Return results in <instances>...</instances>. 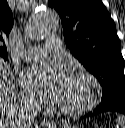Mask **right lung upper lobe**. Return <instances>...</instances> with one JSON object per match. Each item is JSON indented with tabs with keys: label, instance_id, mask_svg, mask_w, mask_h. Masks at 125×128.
I'll return each instance as SVG.
<instances>
[{
	"label": "right lung upper lobe",
	"instance_id": "cb5924a9",
	"mask_svg": "<svg viewBox=\"0 0 125 128\" xmlns=\"http://www.w3.org/2000/svg\"><path fill=\"white\" fill-rule=\"evenodd\" d=\"M13 27V14L7 0H0V58L8 59L4 39L9 35Z\"/></svg>",
	"mask_w": 125,
	"mask_h": 128
}]
</instances>
